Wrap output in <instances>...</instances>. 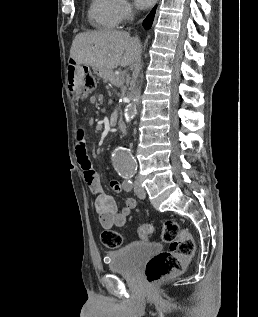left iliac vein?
<instances>
[{"label": "left iliac vein", "instance_id": "1", "mask_svg": "<svg viewBox=\"0 0 258 317\" xmlns=\"http://www.w3.org/2000/svg\"><path fill=\"white\" fill-rule=\"evenodd\" d=\"M133 187H134V190H135V194L140 198L142 197L143 199L145 198V193H146V190L141 186V183L136 179L134 182H133ZM142 199V200H143Z\"/></svg>", "mask_w": 258, "mask_h": 317}]
</instances>
